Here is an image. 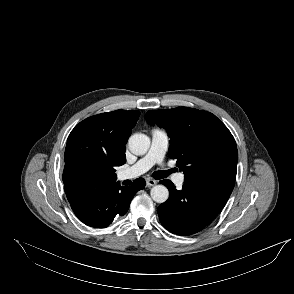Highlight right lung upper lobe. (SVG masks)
<instances>
[{
	"mask_svg": "<svg viewBox=\"0 0 294 294\" xmlns=\"http://www.w3.org/2000/svg\"><path fill=\"white\" fill-rule=\"evenodd\" d=\"M140 112L116 110L89 117L80 122L70 133L65 149L63 171L64 190L84 185L86 190L116 182L114 167L126 162L125 145ZM91 164L99 170L93 182H79L71 171L79 165ZM84 195V194H83ZM79 198L82 195H69Z\"/></svg>",
	"mask_w": 294,
	"mask_h": 294,
	"instance_id": "right-lung-upper-lobe-1",
	"label": "right lung upper lobe"
}]
</instances>
